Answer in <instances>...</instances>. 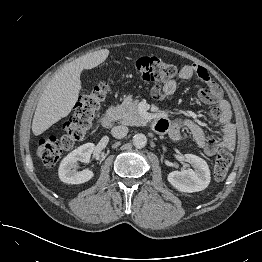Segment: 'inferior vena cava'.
<instances>
[{
    "label": "inferior vena cava",
    "instance_id": "inferior-vena-cava-1",
    "mask_svg": "<svg viewBox=\"0 0 262 262\" xmlns=\"http://www.w3.org/2000/svg\"><path fill=\"white\" fill-rule=\"evenodd\" d=\"M128 133V127L124 125L115 126L111 130V134L113 137L121 139L124 138Z\"/></svg>",
    "mask_w": 262,
    "mask_h": 262
}]
</instances>
